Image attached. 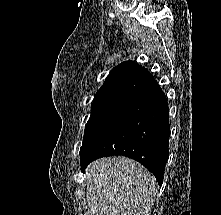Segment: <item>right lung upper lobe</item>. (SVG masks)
Instances as JSON below:
<instances>
[{"instance_id":"1","label":"right lung upper lobe","mask_w":221,"mask_h":215,"mask_svg":"<svg viewBox=\"0 0 221 215\" xmlns=\"http://www.w3.org/2000/svg\"><path fill=\"white\" fill-rule=\"evenodd\" d=\"M157 85L148 70L133 61L113 68L103 86L94 96V102L125 99L133 100Z\"/></svg>"}]
</instances>
